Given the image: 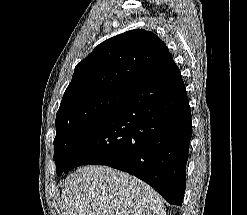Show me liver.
Here are the masks:
<instances>
[{
    "instance_id": "1",
    "label": "liver",
    "mask_w": 247,
    "mask_h": 215,
    "mask_svg": "<svg viewBox=\"0 0 247 215\" xmlns=\"http://www.w3.org/2000/svg\"><path fill=\"white\" fill-rule=\"evenodd\" d=\"M62 201V215H166L148 184L107 166H85L69 175Z\"/></svg>"
}]
</instances>
